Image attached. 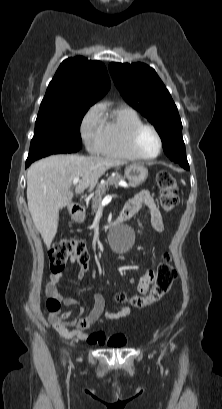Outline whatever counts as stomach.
Segmentation results:
<instances>
[{"mask_svg":"<svg viewBox=\"0 0 222 409\" xmlns=\"http://www.w3.org/2000/svg\"><path fill=\"white\" fill-rule=\"evenodd\" d=\"M124 176L129 181L130 185L137 186L147 179L148 170L143 165L131 164L126 167ZM84 218V214L73 215V219L78 223H82L84 221Z\"/></svg>","mask_w":222,"mask_h":409,"instance_id":"obj_1","label":"stomach"}]
</instances>
